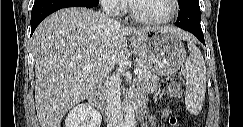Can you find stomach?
Returning a JSON list of instances; mask_svg holds the SVG:
<instances>
[{
    "mask_svg": "<svg viewBox=\"0 0 243 127\" xmlns=\"http://www.w3.org/2000/svg\"><path fill=\"white\" fill-rule=\"evenodd\" d=\"M140 58L158 75L172 74L184 63L186 51L180 38L165 30L154 29L131 38Z\"/></svg>",
    "mask_w": 243,
    "mask_h": 127,
    "instance_id": "0dacf381",
    "label": "stomach"
}]
</instances>
